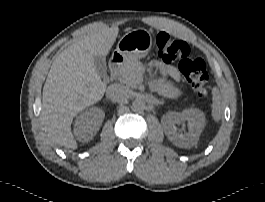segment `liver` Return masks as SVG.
I'll return each mask as SVG.
<instances>
[{
    "label": "liver",
    "instance_id": "6515ba94",
    "mask_svg": "<svg viewBox=\"0 0 265 202\" xmlns=\"http://www.w3.org/2000/svg\"><path fill=\"white\" fill-rule=\"evenodd\" d=\"M118 32L117 25L109 28L94 23L86 35L56 55L43 87L41 121L44 131L59 145L77 148L71 131L73 119L100 101L107 87L96 71L94 56L105 58Z\"/></svg>",
    "mask_w": 265,
    "mask_h": 202
}]
</instances>
